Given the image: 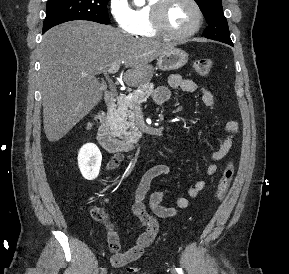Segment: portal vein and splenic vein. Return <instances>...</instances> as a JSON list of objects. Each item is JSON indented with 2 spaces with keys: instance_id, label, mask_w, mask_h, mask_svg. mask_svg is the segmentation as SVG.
<instances>
[{
  "instance_id": "1",
  "label": "portal vein and splenic vein",
  "mask_w": 289,
  "mask_h": 274,
  "mask_svg": "<svg viewBox=\"0 0 289 274\" xmlns=\"http://www.w3.org/2000/svg\"><path fill=\"white\" fill-rule=\"evenodd\" d=\"M119 67H120V65L115 63L107 69V72L110 74H115L119 70Z\"/></svg>"
}]
</instances>
